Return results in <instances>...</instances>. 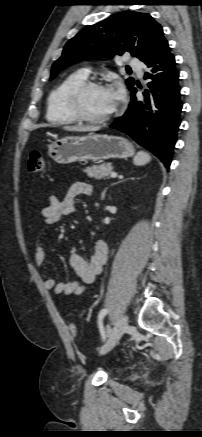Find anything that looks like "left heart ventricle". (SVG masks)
<instances>
[{
    "label": "left heart ventricle",
    "mask_w": 202,
    "mask_h": 437,
    "mask_svg": "<svg viewBox=\"0 0 202 437\" xmlns=\"http://www.w3.org/2000/svg\"><path fill=\"white\" fill-rule=\"evenodd\" d=\"M118 100L108 88L90 89L83 97L82 106L92 117H104L116 107Z\"/></svg>",
    "instance_id": "obj_1"
}]
</instances>
